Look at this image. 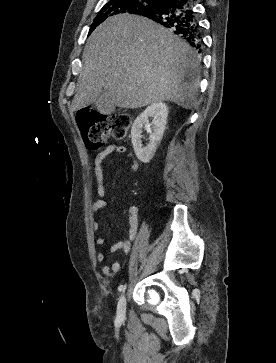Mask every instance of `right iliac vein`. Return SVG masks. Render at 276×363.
Returning <instances> with one entry per match:
<instances>
[{"mask_svg":"<svg viewBox=\"0 0 276 363\" xmlns=\"http://www.w3.org/2000/svg\"><path fill=\"white\" fill-rule=\"evenodd\" d=\"M126 314V295H122L117 305V316L124 318Z\"/></svg>","mask_w":276,"mask_h":363,"instance_id":"right-iliac-vein-1","label":"right iliac vein"}]
</instances>
